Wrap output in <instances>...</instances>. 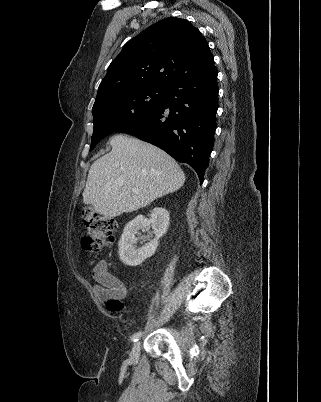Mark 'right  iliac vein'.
Listing matches in <instances>:
<instances>
[{
    "label": "right iliac vein",
    "instance_id": "1",
    "mask_svg": "<svg viewBox=\"0 0 321 402\" xmlns=\"http://www.w3.org/2000/svg\"><path fill=\"white\" fill-rule=\"evenodd\" d=\"M139 353H140V342H135L133 344L131 353H130V360L132 362H136L139 358Z\"/></svg>",
    "mask_w": 321,
    "mask_h": 402
}]
</instances>
